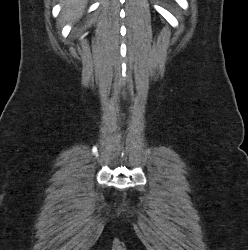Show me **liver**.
Instances as JSON below:
<instances>
[{"label":"liver","instance_id":"obj_1","mask_svg":"<svg viewBox=\"0 0 248 250\" xmlns=\"http://www.w3.org/2000/svg\"><path fill=\"white\" fill-rule=\"evenodd\" d=\"M63 17L67 21H73L81 17L86 0H63Z\"/></svg>","mask_w":248,"mask_h":250}]
</instances>
